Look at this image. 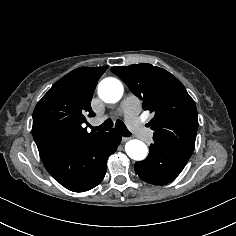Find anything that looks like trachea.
<instances>
[{
	"mask_svg": "<svg viewBox=\"0 0 236 236\" xmlns=\"http://www.w3.org/2000/svg\"><path fill=\"white\" fill-rule=\"evenodd\" d=\"M113 126V122L111 119H107L103 124H101L100 126H97V127H93V126H90V128L93 130V131H101V132H104V131H108L112 128ZM116 129L125 137H131L130 135V132L129 130L126 128L125 124L118 120L116 122Z\"/></svg>",
	"mask_w": 236,
	"mask_h": 236,
	"instance_id": "3493384b",
	"label": "trachea"
}]
</instances>
